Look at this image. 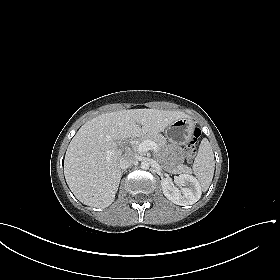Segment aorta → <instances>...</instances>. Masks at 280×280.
Instances as JSON below:
<instances>
[{
  "instance_id": "1",
  "label": "aorta",
  "mask_w": 280,
  "mask_h": 280,
  "mask_svg": "<svg viewBox=\"0 0 280 280\" xmlns=\"http://www.w3.org/2000/svg\"><path fill=\"white\" fill-rule=\"evenodd\" d=\"M149 167H150V164H149L148 161H142V162H141V168H142L143 170H147V169H149Z\"/></svg>"
}]
</instances>
